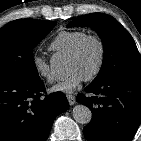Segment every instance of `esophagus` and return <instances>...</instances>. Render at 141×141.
Listing matches in <instances>:
<instances>
[{
  "mask_svg": "<svg viewBox=\"0 0 141 141\" xmlns=\"http://www.w3.org/2000/svg\"><path fill=\"white\" fill-rule=\"evenodd\" d=\"M67 99L70 105H74L76 103V98L73 95H67Z\"/></svg>",
  "mask_w": 141,
  "mask_h": 141,
  "instance_id": "obj_1",
  "label": "esophagus"
}]
</instances>
